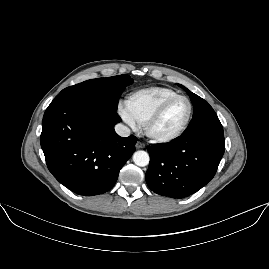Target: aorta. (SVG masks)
Instances as JSON below:
<instances>
[{
  "label": "aorta",
  "instance_id": "obj_1",
  "mask_svg": "<svg viewBox=\"0 0 269 269\" xmlns=\"http://www.w3.org/2000/svg\"><path fill=\"white\" fill-rule=\"evenodd\" d=\"M149 160V155L145 151L139 150L133 154V161L137 166H147L149 164Z\"/></svg>",
  "mask_w": 269,
  "mask_h": 269
}]
</instances>
